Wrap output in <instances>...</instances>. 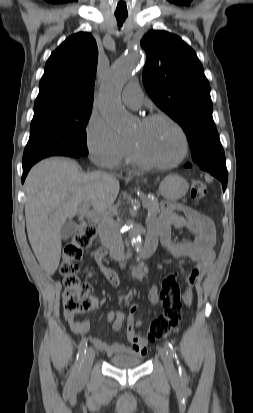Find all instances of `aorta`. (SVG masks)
Segmentation results:
<instances>
[{"instance_id": "762f6f07", "label": "aorta", "mask_w": 253, "mask_h": 413, "mask_svg": "<svg viewBox=\"0 0 253 413\" xmlns=\"http://www.w3.org/2000/svg\"><path fill=\"white\" fill-rule=\"evenodd\" d=\"M141 58L136 49L129 51L128 55L117 59L109 69L100 87V111L109 123L119 132L131 129L132 118L123 107L120 95L124 85ZM125 228L135 250H142V237L139 226L132 220H127Z\"/></svg>"}]
</instances>
